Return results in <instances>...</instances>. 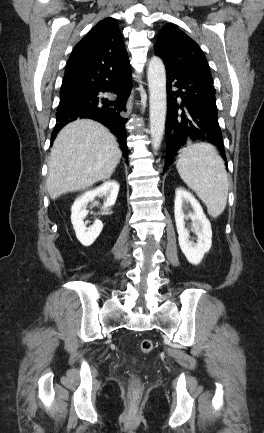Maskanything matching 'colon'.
<instances>
[{
  "mask_svg": "<svg viewBox=\"0 0 264 433\" xmlns=\"http://www.w3.org/2000/svg\"><path fill=\"white\" fill-rule=\"evenodd\" d=\"M139 349L142 353L148 354L154 349V344L150 339H143L140 342Z\"/></svg>",
  "mask_w": 264,
  "mask_h": 433,
  "instance_id": "1",
  "label": "colon"
}]
</instances>
